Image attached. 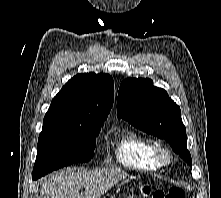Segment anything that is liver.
<instances>
[{"label": "liver", "mask_w": 221, "mask_h": 198, "mask_svg": "<svg viewBox=\"0 0 221 198\" xmlns=\"http://www.w3.org/2000/svg\"><path fill=\"white\" fill-rule=\"evenodd\" d=\"M128 174L119 168L58 172L46 179L41 198H100ZM84 187V192L79 193Z\"/></svg>", "instance_id": "6515ba94"}]
</instances>
